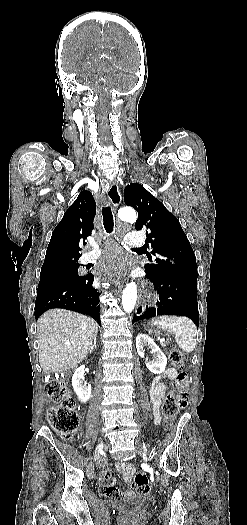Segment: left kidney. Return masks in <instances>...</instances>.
Returning <instances> with one entry per match:
<instances>
[{
  "instance_id": "left-kidney-1",
  "label": "left kidney",
  "mask_w": 247,
  "mask_h": 525,
  "mask_svg": "<svg viewBox=\"0 0 247 525\" xmlns=\"http://www.w3.org/2000/svg\"><path fill=\"white\" fill-rule=\"evenodd\" d=\"M150 347L151 353H154V361H150L148 363V359H146V367L151 371V373H154V375H159V373H163L166 369L167 365V359L166 355L162 353L161 349L157 347L156 343H154L153 339H150L148 335H137L136 337V349L139 357H142V359H145V351L144 347Z\"/></svg>"
}]
</instances>
